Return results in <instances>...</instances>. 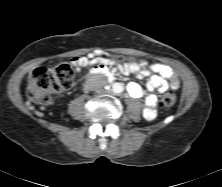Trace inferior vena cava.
<instances>
[{"label":"inferior vena cava","mask_w":222,"mask_h":187,"mask_svg":"<svg viewBox=\"0 0 222 187\" xmlns=\"http://www.w3.org/2000/svg\"><path fill=\"white\" fill-rule=\"evenodd\" d=\"M102 82L97 83L96 87L94 88V90L98 93H101L103 91V86L106 85V78L104 76H102Z\"/></svg>","instance_id":"602c4592"}]
</instances>
